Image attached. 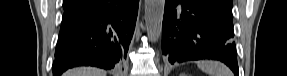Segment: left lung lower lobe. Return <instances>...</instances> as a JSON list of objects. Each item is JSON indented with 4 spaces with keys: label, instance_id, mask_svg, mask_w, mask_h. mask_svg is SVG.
<instances>
[{
    "label": "left lung lower lobe",
    "instance_id": "left-lung-lower-lobe-1",
    "mask_svg": "<svg viewBox=\"0 0 287 76\" xmlns=\"http://www.w3.org/2000/svg\"><path fill=\"white\" fill-rule=\"evenodd\" d=\"M180 4L182 9H176ZM232 18L197 0H165L162 26V53L169 62L216 59L224 62L236 76Z\"/></svg>",
    "mask_w": 287,
    "mask_h": 76
}]
</instances>
